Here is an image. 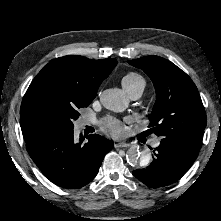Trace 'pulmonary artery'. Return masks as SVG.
I'll return each mask as SVG.
<instances>
[{"instance_id":"pulmonary-artery-1","label":"pulmonary artery","mask_w":221,"mask_h":221,"mask_svg":"<svg viewBox=\"0 0 221 221\" xmlns=\"http://www.w3.org/2000/svg\"><path fill=\"white\" fill-rule=\"evenodd\" d=\"M143 90H144V87L135 86V87L127 89L126 92H127L128 96L130 97V99L136 100L142 95ZM158 145H159V140L158 139L154 140L153 146L157 147Z\"/></svg>"}]
</instances>
